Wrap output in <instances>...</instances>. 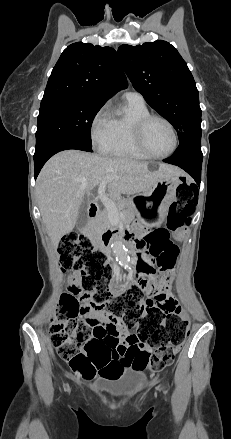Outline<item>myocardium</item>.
I'll return each instance as SVG.
<instances>
[{"label": "myocardium", "mask_w": 231, "mask_h": 439, "mask_svg": "<svg viewBox=\"0 0 231 439\" xmlns=\"http://www.w3.org/2000/svg\"><path fill=\"white\" fill-rule=\"evenodd\" d=\"M153 120H160V121L164 122L165 124H167V126L170 128V130L172 132L174 143H173L171 150L166 154L156 155L150 151V149L148 148V146L146 144L145 132H146L148 125ZM134 139H135V143H136L137 147L139 148V150L143 154H145L148 158H151V159H165V158L170 157L171 155H173L175 153V151L178 148V144H179L178 132H177L174 124L168 118H166L162 115H158V114H149L138 121V123L136 124V127H135V131H134Z\"/></svg>", "instance_id": "f54148a6"}]
</instances>
